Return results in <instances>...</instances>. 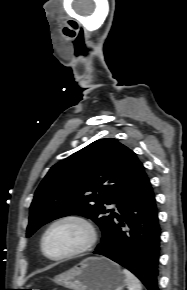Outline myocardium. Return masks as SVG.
Segmentation results:
<instances>
[{
    "mask_svg": "<svg viewBox=\"0 0 187 290\" xmlns=\"http://www.w3.org/2000/svg\"><path fill=\"white\" fill-rule=\"evenodd\" d=\"M62 223H75V224L80 225L86 233V241L81 247L77 248L76 250H73L69 253H66L60 256H51L46 250V239L49 233L51 232V230L57 225L62 224ZM97 237H98L97 230L90 219H88L86 216L81 215V214H67L59 218H56L48 225V227L44 231L41 238V249H42L43 254L48 259L53 260V261H63V260L80 256L90 251L94 247L97 241Z\"/></svg>",
    "mask_w": 187,
    "mask_h": 290,
    "instance_id": "f54148a6",
    "label": "myocardium"
}]
</instances>
